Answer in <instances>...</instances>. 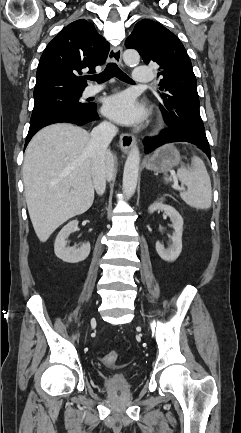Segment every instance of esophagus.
I'll return each mask as SVG.
<instances>
[{
  "instance_id": "1",
  "label": "esophagus",
  "mask_w": 241,
  "mask_h": 433,
  "mask_svg": "<svg viewBox=\"0 0 241 433\" xmlns=\"http://www.w3.org/2000/svg\"><path fill=\"white\" fill-rule=\"evenodd\" d=\"M108 58L110 61L117 63L120 66H123L122 64V48L119 47H113L109 51ZM135 142V137L132 134L129 133H122L120 134V148L124 153H127L128 150L133 146Z\"/></svg>"
}]
</instances>
